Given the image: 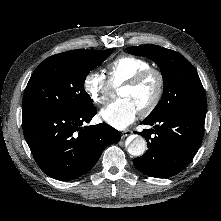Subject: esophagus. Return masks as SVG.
Wrapping results in <instances>:
<instances>
[{"label":"esophagus","instance_id":"obj_1","mask_svg":"<svg viewBox=\"0 0 221 221\" xmlns=\"http://www.w3.org/2000/svg\"><path fill=\"white\" fill-rule=\"evenodd\" d=\"M132 133L133 132L131 130H125L121 134H122V137H127V136H130Z\"/></svg>","mask_w":221,"mask_h":221}]
</instances>
